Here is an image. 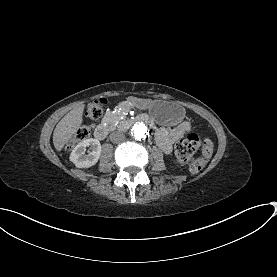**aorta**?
<instances>
[{
  "instance_id": "aorta-1",
  "label": "aorta",
  "mask_w": 277,
  "mask_h": 277,
  "mask_svg": "<svg viewBox=\"0 0 277 277\" xmlns=\"http://www.w3.org/2000/svg\"><path fill=\"white\" fill-rule=\"evenodd\" d=\"M148 131V127L143 122H137L132 126L130 133L134 139L143 140L147 137Z\"/></svg>"
}]
</instances>
